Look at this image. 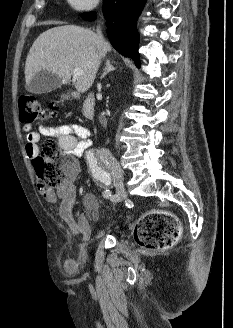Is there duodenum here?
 Here are the masks:
<instances>
[{"instance_id": "obj_1", "label": "duodenum", "mask_w": 233, "mask_h": 328, "mask_svg": "<svg viewBox=\"0 0 233 328\" xmlns=\"http://www.w3.org/2000/svg\"><path fill=\"white\" fill-rule=\"evenodd\" d=\"M82 113L85 118L92 120L95 116V99L92 94H88L82 106Z\"/></svg>"}]
</instances>
